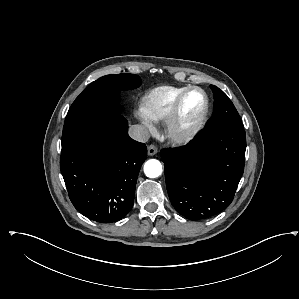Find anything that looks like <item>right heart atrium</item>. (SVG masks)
I'll return each mask as SVG.
<instances>
[{
	"mask_svg": "<svg viewBox=\"0 0 299 299\" xmlns=\"http://www.w3.org/2000/svg\"><path fill=\"white\" fill-rule=\"evenodd\" d=\"M142 122L147 128H150V123L145 118H142Z\"/></svg>",
	"mask_w": 299,
	"mask_h": 299,
	"instance_id": "d8ad5b80",
	"label": "right heart atrium"
}]
</instances>
